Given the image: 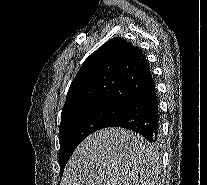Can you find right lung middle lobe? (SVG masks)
<instances>
[{
	"mask_svg": "<svg viewBox=\"0 0 207 185\" xmlns=\"http://www.w3.org/2000/svg\"><path fill=\"white\" fill-rule=\"evenodd\" d=\"M122 108L105 104L87 108L61 120L59 127V163L61 175L72 153L89 134L105 128Z\"/></svg>",
	"mask_w": 207,
	"mask_h": 185,
	"instance_id": "obj_1",
	"label": "right lung middle lobe"
}]
</instances>
